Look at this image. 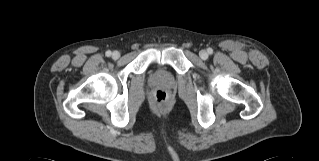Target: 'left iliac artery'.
<instances>
[{"instance_id": "left-iliac-artery-1", "label": "left iliac artery", "mask_w": 319, "mask_h": 161, "mask_svg": "<svg viewBox=\"0 0 319 161\" xmlns=\"http://www.w3.org/2000/svg\"><path fill=\"white\" fill-rule=\"evenodd\" d=\"M207 51H208L209 54L213 53V50L211 48H208Z\"/></svg>"}]
</instances>
